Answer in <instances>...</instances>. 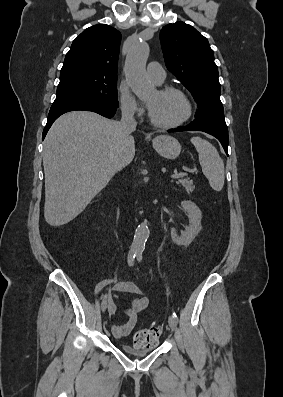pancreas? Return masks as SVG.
<instances>
[{
    "label": "pancreas",
    "instance_id": "1",
    "mask_svg": "<svg viewBox=\"0 0 283 397\" xmlns=\"http://www.w3.org/2000/svg\"><path fill=\"white\" fill-rule=\"evenodd\" d=\"M176 183L182 185L185 188L187 193L193 192V190H194V186H193V181L192 180L179 179Z\"/></svg>",
    "mask_w": 283,
    "mask_h": 397
}]
</instances>
